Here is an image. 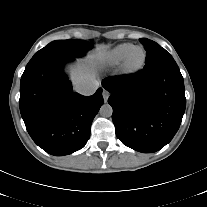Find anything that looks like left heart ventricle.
Returning a JSON list of instances; mask_svg holds the SVG:
<instances>
[{
    "label": "left heart ventricle",
    "instance_id": "left-heart-ventricle-1",
    "mask_svg": "<svg viewBox=\"0 0 207 207\" xmlns=\"http://www.w3.org/2000/svg\"><path fill=\"white\" fill-rule=\"evenodd\" d=\"M142 52L140 50H137L133 53L132 57H131V64L132 65H136L139 64L142 60Z\"/></svg>",
    "mask_w": 207,
    "mask_h": 207
}]
</instances>
